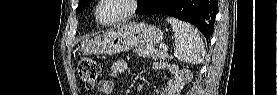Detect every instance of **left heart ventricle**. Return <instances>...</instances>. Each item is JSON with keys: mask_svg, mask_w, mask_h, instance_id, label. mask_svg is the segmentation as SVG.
I'll list each match as a JSON object with an SVG mask.
<instances>
[{"mask_svg": "<svg viewBox=\"0 0 277 95\" xmlns=\"http://www.w3.org/2000/svg\"><path fill=\"white\" fill-rule=\"evenodd\" d=\"M121 11V5L115 1H109L100 8V14L104 19H110Z\"/></svg>", "mask_w": 277, "mask_h": 95, "instance_id": "b2bd125f", "label": "left heart ventricle"}]
</instances>
